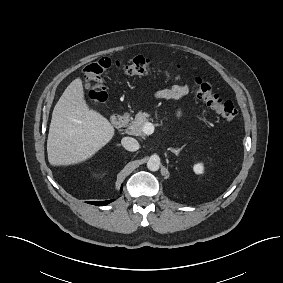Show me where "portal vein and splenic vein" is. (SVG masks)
<instances>
[{"mask_svg":"<svg viewBox=\"0 0 283 283\" xmlns=\"http://www.w3.org/2000/svg\"><path fill=\"white\" fill-rule=\"evenodd\" d=\"M154 125L150 122H147L144 126H143V132L147 135H150L154 132Z\"/></svg>","mask_w":283,"mask_h":283,"instance_id":"obj_1","label":"portal vein and splenic vein"}]
</instances>
